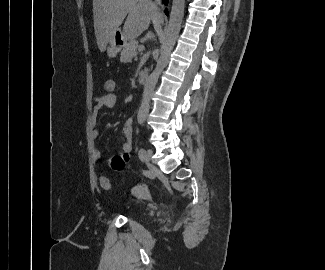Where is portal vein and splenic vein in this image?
Here are the masks:
<instances>
[{"label": "portal vein and splenic vein", "instance_id": "portal-vein-and-splenic-vein-1", "mask_svg": "<svg viewBox=\"0 0 325 270\" xmlns=\"http://www.w3.org/2000/svg\"><path fill=\"white\" fill-rule=\"evenodd\" d=\"M138 50H139V51L144 50V46H143V45H140V46L138 47Z\"/></svg>", "mask_w": 325, "mask_h": 270}]
</instances>
